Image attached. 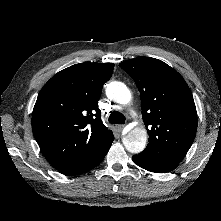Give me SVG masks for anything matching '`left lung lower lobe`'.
Wrapping results in <instances>:
<instances>
[{"instance_id": "1", "label": "left lung lower lobe", "mask_w": 221, "mask_h": 221, "mask_svg": "<svg viewBox=\"0 0 221 221\" xmlns=\"http://www.w3.org/2000/svg\"><path fill=\"white\" fill-rule=\"evenodd\" d=\"M133 161L143 169H146L155 173H167L174 170L179 163L164 160L161 158L139 153V155L132 157Z\"/></svg>"}]
</instances>
